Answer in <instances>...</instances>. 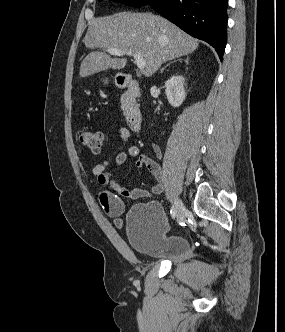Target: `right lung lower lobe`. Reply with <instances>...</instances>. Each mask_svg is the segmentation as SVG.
<instances>
[{"mask_svg": "<svg viewBox=\"0 0 285 332\" xmlns=\"http://www.w3.org/2000/svg\"><path fill=\"white\" fill-rule=\"evenodd\" d=\"M148 5L188 34L211 44L222 60L227 0H153Z\"/></svg>", "mask_w": 285, "mask_h": 332, "instance_id": "right-lung-lower-lobe-1", "label": "right lung lower lobe"}]
</instances>
